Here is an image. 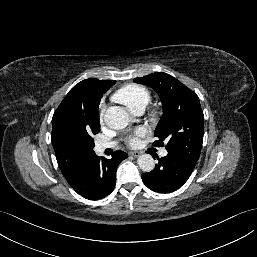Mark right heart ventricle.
<instances>
[{
  "label": "right heart ventricle",
  "mask_w": 257,
  "mask_h": 257,
  "mask_svg": "<svg viewBox=\"0 0 257 257\" xmlns=\"http://www.w3.org/2000/svg\"><path fill=\"white\" fill-rule=\"evenodd\" d=\"M114 100L125 105L131 112L144 109L151 100L149 89L140 84H129L118 89Z\"/></svg>",
  "instance_id": "e07e8e85"
}]
</instances>
